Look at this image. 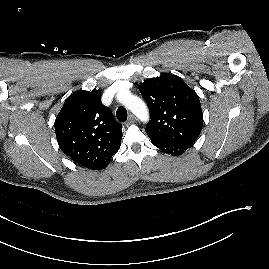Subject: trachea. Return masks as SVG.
I'll return each mask as SVG.
<instances>
[{
  "mask_svg": "<svg viewBox=\"0 0 269 269\" xmlns=\"http://www.w3.org/2000/svg\"><path fill=\"white\" fill-rule=\"evenodd\" d=\"M116 116L118 121L120 122L126 121L128 117L126 109L124 107H119L116 111Z\"/></svg>",
  "mask_w": 269,
  "mask_h": 269,
  "instance_id": "1",
  "label": "trachea"
}]
</instances>
